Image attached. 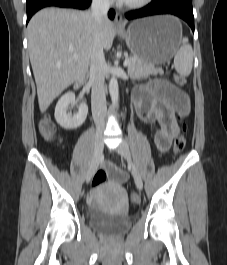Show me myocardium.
<instances>
[{
	"label": "myocardium",
	"mask_w": 227,
	"mask_h": 265,
	"mask_svg": "<svg viewBox=\"0 0 227 265\" xmlns=\"http://www.w3.org/2000/svg\"><path fill=\"white\" fill-rule=\"evenodd\" d=\"M152 0H139L137 2H120L127 9H140L147 6Z\"/></svg>",
	"instance_id": "1"
}]
</instances>
